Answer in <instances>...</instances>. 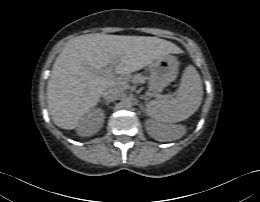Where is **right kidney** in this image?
<instances>
[{"label": "right kidney", "instance_id": "ca27d5eb", "mask_svg": "<svg viewBox=\"0 0 260 202\" xmlns=\"http://www.w3.org/2000/svg\"><path fill=\"white\" fill-rule=\"evenodd\" d=\"M104 112L100 108L92 109L79 121L77 133L80 136H90L99 131L104 123Z\"/></svg>", "mask_w": 260, "mask_h": 202}]
</instances>
